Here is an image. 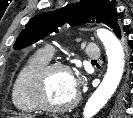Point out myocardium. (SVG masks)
<instances>
[{
	"instance_id": "1",
	"label": "myocardium",
	"mask_w": 133,
	"mask_h": 118,
	"mask_svg": "<svg viewBox=\"0 0 133 118\" xmlns=\"http://www.w3.org/2000/svg\"><path fill=\"white\" fill-rule=\"evenodd\" d=\"M55 70H64L72 73L70 67L62 62L47 63L31 76L29 81V95L38 109L51 113H64L76 106L79 101V96L76 94L70 102L60 106L52 105L46 100V81L48 76Z\"/></svg>"
}]
</instances>
